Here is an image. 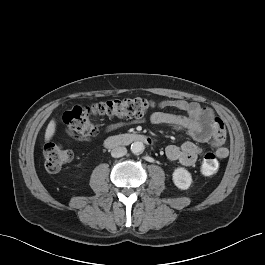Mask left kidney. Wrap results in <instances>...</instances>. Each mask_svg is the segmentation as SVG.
I'll use <instances>...</instances> for the list:
<instances>
[{
	"instance_id": "1",
	"label": "left kidney",
	"mask_w": 265,
	"mask_h": 265,
	"mask_svg": "<svg viewBox=\"0 0 265 265\" xmlns=\"http://www.w3.org/2000/svg\"><path fill=\"white\" fill-rule=\"evenodd\" d=\"M172 179L175 186L181 190H187L192 183V176L190 172L183 167H179L174 170Z\"/></svg>"
}]
</instances>
